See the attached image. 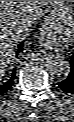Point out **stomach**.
Masks as SVG:
<instances>
[{"label":"stomach","instance_id":"0dacf381","mask_svg":"<svg viewBox=\"0 0 74 122\" xmlns=\"http://www.w3.org/2000/svg\"><path fill=\"white\" fill-rule=\"evenodd\" d=\"M73 11L69 4V1H63V3L54 8L52 15L49 17V23H65L72 17Z\"/></svg>","mask_w":74,"mask_h":122}]
</instances>
